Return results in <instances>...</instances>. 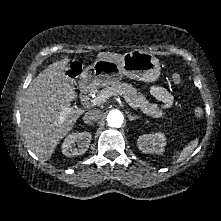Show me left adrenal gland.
Here are the masks:
<instances>
[{"mask_svg": "<svg viewBox=\"0 0 221 221\" xmlns=\"http://www.w3.org/2000/svg\"><path fill=\"white\" fill-rule=\"evenodd\" d=\"M129 121H134L139 118V116H132L131 114L128 115Z\"/></svg>", "mask_w": 221, "mask_h": 221, "instance_id": "1", "label": "left adrenal gland"}]
</instances>
